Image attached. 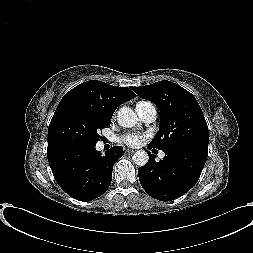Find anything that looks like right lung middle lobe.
Returning a JSON list of instances; mask_svg holds the SVG:
<instances>
[{
	"label": "right lung middle lobe",
	"instance_id": "dd1d6c3e",
	"mask_svg": "<svg viewBox=\"0 0 253 253\" xmlns=\"http://www.w3.org/2000/svg\"><path fill=\"white\" fill-rule=\"evenodd\" d=\"M111 118L80 107H65L54 113L48 129V150L70 145H96L99 131L109 128Z\"/></svg>",
	"mask_w": 253,
	"mask_h": 253
}]
</instances>
